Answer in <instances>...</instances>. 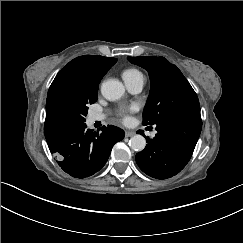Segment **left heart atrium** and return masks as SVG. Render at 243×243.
I'll return each instance as SVG.
<instances>
[{
    "instance_id": "left-heart-atrium-1",
    "label": "left heart atrium",
    "mask_w": 243,
    "mask_h": 243,
    "mask_svg": "<svg viewBox=\"0 0 243 243\" xmlns=\"http://www.w3.org/2000/svg\"><path fill=\"white\" fill-rule=\"evenodd\" d=\"M139 106L136 103H131L129 105H122L115 109L114 114L123 119L128 120L130 118V115L138 111Z\"/></svg>"
}]
</instances>
